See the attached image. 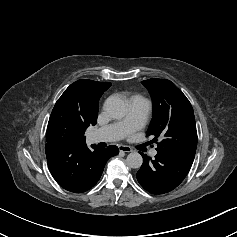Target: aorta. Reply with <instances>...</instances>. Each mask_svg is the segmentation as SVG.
Instances as JSON below:
<instances>
[{"mask_svg":"<svg viewBox=\"0 0 237 237\" xmlns=\"http://www.w3.org/2000/svg\"><path fill=\"white\" fill-rule=\"evenodd\" d=\"M104 108L106 112L115 119H121L127 113L125 102L117 96L107 98ZM126 163L130 168L138 169L142 166L143 158L138 152H131L126 158Z\"/></svg>","mask_w":237,"mask_h":237,"instance_id":"obj_1","label":"aorta"}]
</instances>
